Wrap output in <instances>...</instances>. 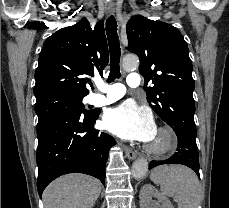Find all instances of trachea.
I'll use <instances>...</instances> for the list:
<instances>
[{"mask_svg": "<svg viewBox=\"0 0 229 208\" xmlns=\"http://www.w3.org/2000/svg\"><path fill=\"white\" fill-rule=\"evenodd\" d=\"M106 34L108 38L110 50V73L107 79L108 83H112L116 78H120V42L117 34V23L114 16L106 20Z\"/></svg>", "mask_w": 229, "mask_h": 208, "instance_id": "1", "label": "trachea"}]
</instances>
